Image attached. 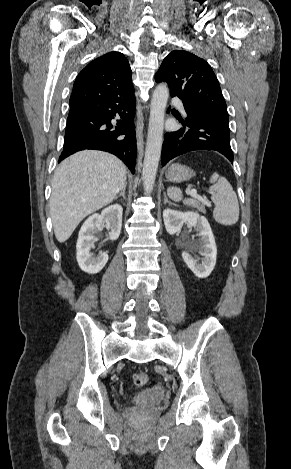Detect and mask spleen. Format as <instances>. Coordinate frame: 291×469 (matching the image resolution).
<instances>
[{
    "label": "spleen",
    "instance_id": "spleen-1",
    "mask_svg": "<svg viewBox=\"0 0 291 469\" xmlns=\"http://www.w3.org/2000/svg\"><path fill=\"white\" fill-rule=\"evenodd\" d=\"M210 182L213 185L209 192L211 200L215 204L213 218L222 225L235 224L239 219V203L231 184L225 177H220L217 173L211 176ZM167 193L174 201L182 199V192L179 188L169 187Z\"/></svg>",
    "mask_w": 291,
    "mask_h": 469
}]
</instances>
